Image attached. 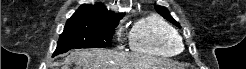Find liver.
Returning <instances> with one entry per match:
<instances>
[{
	"label": "liver",
	"mask_w": 246,
	"mask_h": 69,
	"mask_svg": "<svg viewBox=\"0 0 246 69\" xmlns=\"http://www.w3.org/2000/svg\"><path fill=\"white\" fill-rule=\"evenodd\" d=\"M72 63L76 64V69H149L156 64H165L163 60L152 56L99 48L71 52L63 61L62 69H69Z\"/></svg>",
	"instance_id": "liver-1"
}]
</instances>
